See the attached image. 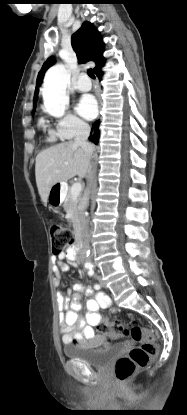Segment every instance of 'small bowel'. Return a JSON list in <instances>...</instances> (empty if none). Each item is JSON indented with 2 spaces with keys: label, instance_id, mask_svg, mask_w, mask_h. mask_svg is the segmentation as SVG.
I'll use <instances>...</instances> for the list:
<instances>
[{
  "label": "small bowel",
  "instance_id": "1",
  "mask_svg": "<svg viewBox=\"0 0 187 415\" xmlns=\"http://www.w3.org/2000/svg\"><path fill=\"white\" fill-rule=\"evenodd\" d=\"M66 257V253L54 257L55 282L57 284L60 282L59 272L69 270V265L65 262ZM94 288L75 283L68 291V296L58 293L60 333L64 344H76L91 350H100L107 344V338L102 334L95 333L94 327L102 319L100 308L108 307L111 300L107 295ZM81 293L90 297L86 303L85 319L78 314L81 309Z\"/></svg>",
  "mask_w": 187,
  "mask_h": 415
}]
</instances>
